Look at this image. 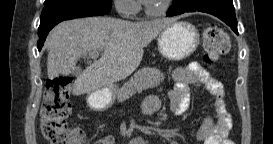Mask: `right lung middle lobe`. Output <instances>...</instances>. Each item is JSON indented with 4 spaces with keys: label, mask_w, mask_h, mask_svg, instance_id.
I'll use <instances>...</instances> for the list:
<instances>
[{
    "label": "right lung middle lobe",
    "mask_w": 273,
    "mask_h": 144,
    "mask_svg": "<svg viewBox=\"0 0 273 144\" xmlns=\"http://www.w3.org/2000/svg\"><path fill=\"white\" fill-rule=\"evenodd\" d=\"M54 1L55 0H45L44 5L46 6V5H48V4H50V3L54 2Z\"/></svg>",
    "instance_id": "1"
}]
</instances>
